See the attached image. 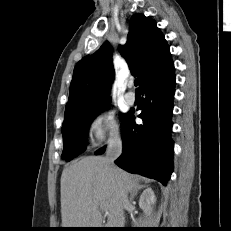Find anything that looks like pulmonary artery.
Returning <instances> with one entry per match:
<instances>
[{
    "label": "pulmonary artery",
    "instance_id": "obj_1",
    "mask_svg": "<svg viewBox=\"0 0 231 231\" xmlns=\"http://www.w3.org/2000/svg\"><path fill=\"white\" fill-rule=\"evenodd\" d=\"M131 87H132V83H129V88H131ZM135 100H136V98H135V94L133 92L130 91V92L126 93V95H125V102L128 105L134 104Z\"/></svg>",
    "mask_w": 231,
    "mask_h": 231
}]
</instances>
